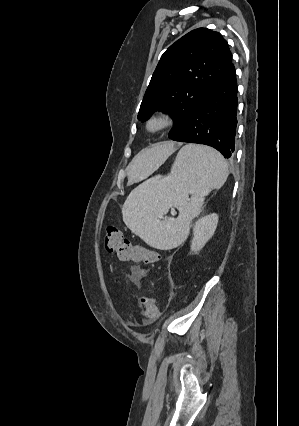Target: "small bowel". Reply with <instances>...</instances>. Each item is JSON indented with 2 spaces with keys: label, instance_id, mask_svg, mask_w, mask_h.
Listing matches in <instances>:
<instances>
[{
  "label": "small bowel",
  "instance_id": "1",
  "mask_svg": "<svg viewBox=\"0 0 299 426\" xmlns=\"http://www.w3.org/2000/svg\"><path fill=\"white\" fill-rule=\"evenodd\" d=\"M146 275V269L142 268L141 266H133L131 268L129 277L134 284L138 285Z\"/></svg>",
  "mask_w": 299,
  "mask_h": 426
}]
</instances>
